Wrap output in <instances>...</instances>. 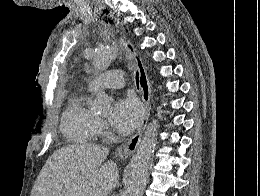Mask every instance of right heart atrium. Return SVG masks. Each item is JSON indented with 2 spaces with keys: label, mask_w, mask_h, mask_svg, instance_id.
Segmentation results:
<instances>
[{
  "label": "right heart atrium",
  "mask_w": 260,
  "mask_h": 196,
  "mask_svg": "<svg viewBox=\"0 0 260 196\" xmlns=\"http://www.w3.org/2000/svg\"><path fill=\"white\" fill-rule=\"evenodd\" d=\"M99 127L104 128V124L102 122H100ZM56 191L57 192H85V190H56Z\"/></svg>",
  "instance_id": "d8ad5b80"
}]
</instances>
